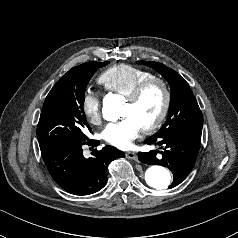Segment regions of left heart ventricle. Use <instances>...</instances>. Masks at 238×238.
Returning a JSON list of instances; mask_svg holds the SVG:
<instances>
[{
  "label": "left heart ventricle",
  "instance_id": "1",
  "mask_svg": "<svg viewBox=\"0 0 238 238\" xmlns=\"http://www.w3.org/2000/svg\"><path fill=\"white\" fill-rule=\"evenodd\" d=\"M163 102V92L158 85L150 87L137 104L125 103L122 117H132L144 127L152 122L158 115Z\"/></svg>",
  "mask_w": 238,
  "mask_h": 238
}]
</instances>
